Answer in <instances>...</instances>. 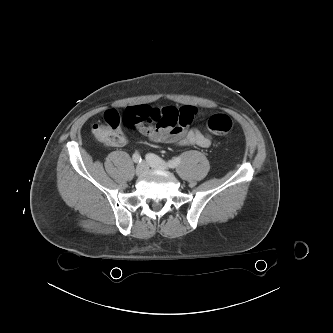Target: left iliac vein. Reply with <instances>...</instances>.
<instances>
[{
    "instance_id": "4c4485c4",
    "label": "left iliac vein",
    "mask_w": 333,
    "mask_h": 333,
    "mask_svg": "<svg viewBox=\"0 0 333 333\" xmlns=\"http://www.w3.org/2000/svg\"><path fill=\"white\" fill-rule=\"evenodd\" d=\"M147 163L152 168L164 169V170L168 169V165L162 159H160L159 157L152 155V154L147 156Z\"/></svg>"
}]
</instances>
